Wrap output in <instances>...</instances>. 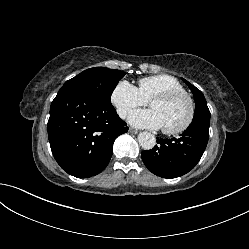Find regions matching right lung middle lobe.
Segmentation results:
<instances>
[{
  "mask_svg": "<svg viewBox=\"0 0 249 249\" xmlns=\"http://www.w3.org/2000/svg\"><path fill=\"white\" fill-rule=\"evenodd\" d=\"M125 72L120 70L95 67L81 72L65 82L60 90L72 89L81 91L105 104H111V95Z\"/></svg>",
  "mask_w": 249,
  "mask_h": 249,
  "instance_id": "obj_1",
  "label": "right lung middle lobe"
}]
</instances>
